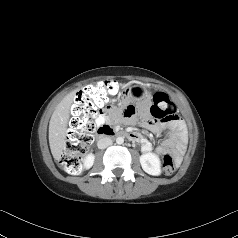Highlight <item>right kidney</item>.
I'll use <instances>...</instances> for the list:
<instances>
[{"mask_svg":"<svg viewBox=\"0 0 238 238\" xmlns=\"http://www.w3.org/2000/svg\"><path fill=\"white\" fill-rule=\"evenodd\" d=\"M94 159H95L94 154H88L84 159V163H83L84 168L85 169L91 168L93 166Z\"/></svg>","mask_w":238,"mask_h":238,"instance_id":"ca27d5eb","label":"right kidney"}]
</instances>
